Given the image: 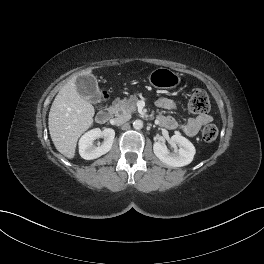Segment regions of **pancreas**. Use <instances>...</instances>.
<instances>
[{
	"label": "pancreas",
	"instance_id": "pancreas-1",
	"mask_svg": "<svg viewBox=\"0 0 264 264\" xmlns=\"http://www.w3.org/2000/svg\"><path fill=\"white\" fill-rule=\"evenodd\" d=\"M137 97L131 96L129 99L115 100L113 102V110L116 116L120 114H131L136 112Z\"/></svg>",
	"mask_w": 264,
	"mask_h": 264
}]
</instances>
